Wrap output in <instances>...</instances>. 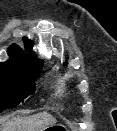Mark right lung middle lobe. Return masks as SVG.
I'll return each instance as SVG.
<instances>
[{
    "mask_svg": "<svg viewBox=\"0 0 117 131\" xmlns=\"http://www.w3.org/2000/svg\"><path fill=\"white\" fill-rule=\"evenodd\" d=\"M37 75H29L22 68L0 69V112L19 105L29 95L34 94Z\"/></svg>",
    "mask_w": 117,
    "mask_h": 131,
    "instance_id": "right-lung-middle-lobe-1",
    "label": "right lung middle lobe"
}]
</instances>
